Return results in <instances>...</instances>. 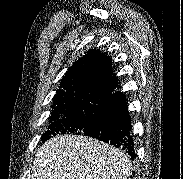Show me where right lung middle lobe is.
<instances>
[{
  "label": "right lung middle lobe",
  "mask_w": 183,
  "mask_h": 179,
  "mask_svg": "<svg viewBox=\"0 0 183 179\" xmlns=\"http://www.w3.org/2000/svg\"><path fill=\"white\" fill-rule=\"evenodd\" d=\"M106 101L105 96H88L53 105L48 130L41 141H47L56 135L81 131L97 120L106 106Z\"/></svg>",
  "instance_id": "dd1d6c3e"
}]
</instances>
